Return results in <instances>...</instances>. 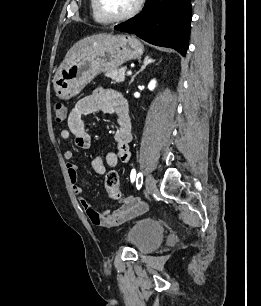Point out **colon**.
I'll return each instance as SVG.
<instances>
[{
  "instance_id": "1",
  "label": "colon",
  "mask_w": 261,
  "mask_h": 306,
  "mask_svg": "<svg viewBox=\"0 0 261 306\" xmlns=\"http://www.w3.org/2000/svg\"><path fill=\"white\" fill-rule=\"evenodd\" d=\"M54 115L56 122L62 123L66 118L65 106L61 103H56L54 105ZM105 187L112 199H121L120 180L116 171H110L107 173L105 177Z\"/></svg>"
}]
</instances>
